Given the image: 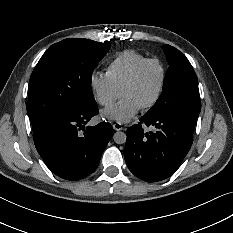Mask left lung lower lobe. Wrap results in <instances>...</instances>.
I'll return each mask as SVG.
<instances>
[{
    "label": "left lung lower lobe",
    "instance_id": "0a47b994",
    "mask_svg": "<svg viewBox=\"0 0 233 233\" xmlns=\"http://www.w3.org/2000/svg\"><path fill=\"white\" fill-rule=\"evenodd\" d=\"M196 122L189 117H141L140 123L127 129L124 156L129 170L146 182L169 177L192 145ZM144 124L158 130L146 132Z\"/></svg>",
    "mask_w": 233,
    "mask_h": 233
}]
</instances>
